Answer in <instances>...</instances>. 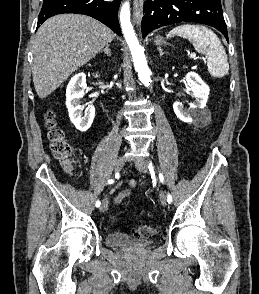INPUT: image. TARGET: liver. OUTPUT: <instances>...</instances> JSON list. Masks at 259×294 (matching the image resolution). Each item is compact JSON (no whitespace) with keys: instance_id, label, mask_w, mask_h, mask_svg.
<instances>
[{"instance_id":"1","label":"liver","mask_w":259,"mask_h":294,"mask_svg":"<svg viewBox=\"0 0 259 294\" xmlns=\"http://www.w3.org/2000/svg\"><path fill=\"white\" fill-rule=\"evenodd\" d=\"M113 39L111 29L85 15L61 14L45 21L33 49L32 76L38 97L50 95Z\"/></svg>"}]
</instances>
